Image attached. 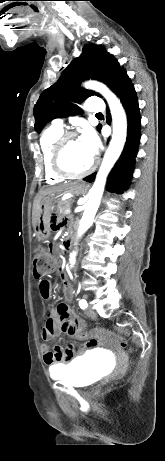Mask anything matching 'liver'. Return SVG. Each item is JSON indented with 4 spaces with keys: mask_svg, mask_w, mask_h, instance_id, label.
I'll return each mask as SVG.
<instances>
[{
    "mask_svg": "<svg viewBox=\"0 0 165 461\" xmlns=\"http://www.w3.org/2000/svg\"><path fill=\"white\" fill-rule=\"evenodd\" d=\"M73 185L71 186H55V187H50L46 188L44 190H40L39 193L36 195L33 203V210H32V225L33 228L36 227L38 223V219L40 216V210H41V202L44 197L48 195H54L56 193H60L68 188H72Z\"/></svg>",
    "mask_w": 165,
    "mask_h": 461,
    "instance_id": "6515ba94",
    "label": "liver"
}]
</instances>
